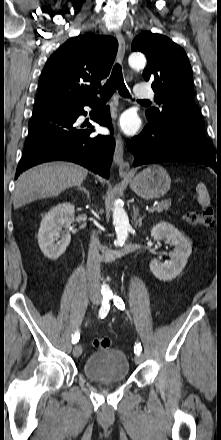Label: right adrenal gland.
I'll return each instance as SVG.
<instances>
[{"label": "right adrenal gland", "mask_w": 221, "mask_h": 440, "mask_svg": "<svg viewBox=\"0 0 221 440\" xmlns=\"http://www.w3.org/2000/svg\"><path fill=\"white\" fill-rule=\"evenodd\" d=\"M78 189L79 190H81V191H83L86 195H87V197H88V199H89V201H90V194H89V191L86 189V188H84V187H82V186H78Z\"/></svg>", "instance_id": "1"}]
</instances>
